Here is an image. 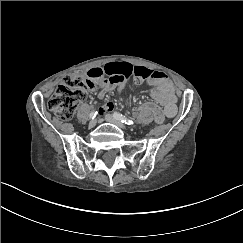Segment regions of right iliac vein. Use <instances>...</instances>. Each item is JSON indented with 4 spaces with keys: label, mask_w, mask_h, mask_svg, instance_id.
Segmentation results:
<instances>
[{
    "label": "right iliac vein",
    "mask_w": 243,
    "mask_h": 243,
    "mask_svg": "<svg viewBox=\"0 0 243 243\" xmlns=\"http://www.w3.org/2000/svg\"><path fill=\"white\" fill-rule=\"evenodd\" d=\"M96 123H97V120L95 119V120H91L90 122H89V127L90 128H93L95 125H96Z\"/></svg>",
    "instance_id": "obj_1"
}]
</instances>
